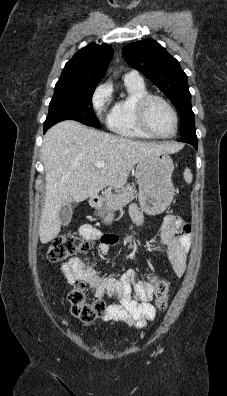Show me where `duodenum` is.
<instances>
[{"label":"duodenum","instance_id":"duodenum-1","mask_svg":"<svg viewBox=\"0 0 227 396\" xmlns=\"http://www.w3.org/2000/svg\"><path fill=\"white\" fill-rule=\"evenodd\" d=\"M91 204L94 206V207H101L102 206V204H103V202H102V199H101V197L99 196V195H93L92 197H91Z\"/></svg>","mask_w":227,"mask_h":396}]
</instances>
